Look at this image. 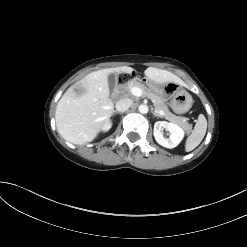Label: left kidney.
<instances>
[{"label":"left kidney","instance_id":"5707ae66","mask_svg":"<svg viewBox=\"0 0 247 247\" xmlns=\"http://www.w3.org/2000/svg\"><path fill=\"white\" fill-rule=\"evenodd\" d=\"M165 128L170 132L169 139H165L162 133V129ZM154 138L158 144L166 148L176 147L184 137V131L177 124L169 123L166 121H157L154 124Z\"/></svg>","mask_w":247,"mask_h":247}]
</instances>
